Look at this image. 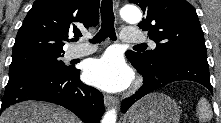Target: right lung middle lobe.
<instances>
[{
	"label": "right lung middle lobe",
	"instance_id": "dd1d6c3e",
	"mask_svg": "<svg viewBox=\"0 0 221 123\" xmlns=\"http://www.w3.org/2000/svg\"><path fill=\"white\" fill-rule=\"evenodd\" d=\"M64 52L56 51H26L12 54V63L9 74L31 68H43L49 70H68L60 57Z\"/></svg>",
	"mask_w": 221,
	"mask_h": 123
}]
</instances>
